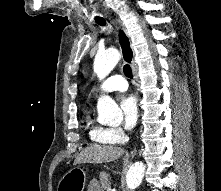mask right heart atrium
<instances>
[{
	"label": "right heart atrium",
	"instance_id": "1",
	"mask_svg": "<svg viewBox=\"0 0 221 191\" xmlns=\"http://www.w3.org/2000/svg\"><path fill=\"white\" fill-rule=\"evenodd\" d=\"M107 131L110 139L114 143H123L126 140L125 132L119 127L108 128Z\"/></svg>",
	"mask_w": 221,
	"mask_h": 191
}]
</instances>
